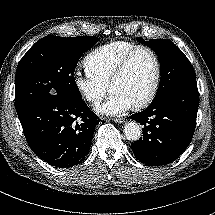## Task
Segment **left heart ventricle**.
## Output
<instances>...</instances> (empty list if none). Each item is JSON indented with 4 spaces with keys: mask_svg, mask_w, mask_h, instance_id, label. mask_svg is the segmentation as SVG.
<instances>
[{
    "mask_svg": "<svg viewBox=\"0 0 215 215\" xmlns=\"http://www.w3.org/2000/svg\"><path fill=\"white\" fill-rule=\"evenodd\" d=\"M154 72L152 56L147 51H139L133 56L124 73L110 84L109 91L123 94L135 105L147 95Z\"/></svg>",
    "mask_w": 215,
    "mask_h": 215,
    "instance_id": "b2bd125f",
    "label": "left heart ventricle"
}]
</instances>
